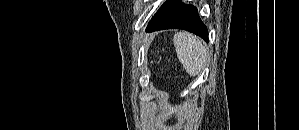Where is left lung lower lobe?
I'll return each instance as SVG.
<instances>
[{
  "mask_svg": "<svg viewBox=\"0 0 299 130\" xmlns=\"http://www.w3.org/2000/svg\"><path fill=\"white\" fill-rule=\"evenodd\" d=\"M183 29L192 32L208 42V30L201 21L197 9L182 4L181 0H168L149 22L146 31Z\"/></svg>",
  "mask_w": 299,
  "mask_h": 130,
  "instance_id": "left-lung-lower-lobe-1",
  "label": "left lung lower lobe"
}]
</instances>
